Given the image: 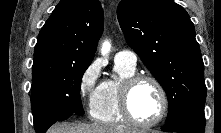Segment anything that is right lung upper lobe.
I'll return each mask as SVG.
<instances>
[{
    "mask_svg": "<svg viewBox=\"0 0 221 133\" xmlns=\"http://www.w3.org/2000/svg\"><path fill=\"white\" fill-rule=\"evenodd\" d=\"M103 19L99 0H61L38 35L32 72L92 62Z\"/></svg>",
    "mask_w": 221,
    "mask_h": 133,
    "instance_id": "cb5924a9",
    "label": "right lung upper lobe"
}]
</instances>
